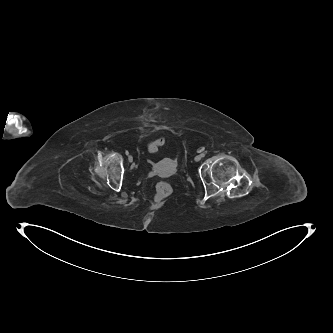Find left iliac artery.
I'll use <instances>...</instances> for the list:
<instances>
[{
	"label": "left iliac artery",
	"instance_id": "left-iliac-artery-1",
	"mask_svg": "<svg viewBox=\"0 0 333 333\" xmlns=\"http://www.w3.org/2000/svg\"><path fill=\"white\" fill-rule=\"evenodd\" d=\"M203 150H204V148H202L200 151H203ZM201 155H202V157H204L205 153H202Z\"/></svg>",
	"mask_w": 333,
	"mask_h": 333
}]
</instances>
